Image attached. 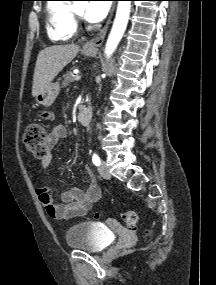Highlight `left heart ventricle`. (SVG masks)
<instances>
[{"mask_svg":"<svg viewBox=\"0 0 216 285\" xmlns=\"http://www.w3.org/2000/svg\"><path fill=\"white\" fill-rule=\"evenodd\" d=\"M75 9L80 13V14H82L83 13V11H84V4H82V3H78V4H76L75 6Z\"/></svg>","mask_w":216,"mask_h":285,"instance_id":"b2bd125f","label":"left heart ventricle"}]
</instances>
